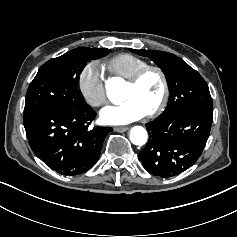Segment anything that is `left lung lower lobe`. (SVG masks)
<instances>
[{"label":"left lung lower lobe","mask_w":237,"mask_h":237,"mask_svg":"<svg viewBox=\"0 0 237 237\" xmlns=\"http://www.w3.org/2000/svg\"><path fill=\"white\" fill-rule=\"evenodd\" d=\"M168 119L174 122H184L188 120H201L204 123H206L211 129V125L213 122V109H198V110L175 112L171 114L170 116H168ZM195 161L196 160H176V161H172L171 165L174 167H182V168L188 169L192 165V163H194ZM161 165L162 163L143 165V166L151 174H154V171H156Z\"/></svg>","instance_id":"1"}]
</instances>
